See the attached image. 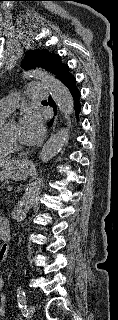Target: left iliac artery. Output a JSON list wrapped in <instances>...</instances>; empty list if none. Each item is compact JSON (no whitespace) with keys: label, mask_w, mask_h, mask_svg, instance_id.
Here are the masks:
<instances>
[{"label":"left iliac artery","mask_w":118,"mask_h":320,"mask_svg":"<svg viewBox=\"0 0 118 320\" xmlns=\"http://www.w3.org/2000/svg\"><path fill=\"white\" fill-rule=\"evenodd\" d=\"M17 300H18V305L21 309L25 310L27 305V298H26V293L25 291L22 289V287H18L17 289Z\"/></svg>","instance_id":"1"}]
</instances>
